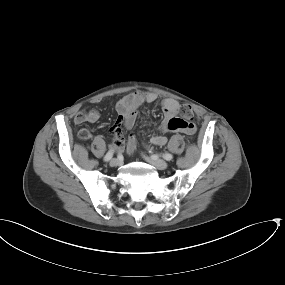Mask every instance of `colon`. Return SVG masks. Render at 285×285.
Segmentation results:
<instances>
[{"label": "colon", "mask_w": 285, "mask_h": 285, "mask_svg": "<svg viewBox=\"0 0 285 285\" xmlns=\"http://www.w3.org/2000/svg\"><path fill=\"white\" fill-rule=\"evenodd\" d=\"M180 113L182 117L184 118V121L188 122V120H190L193 117L194 110L191 105L184 104L180 108ZM185 130L187 133H190V134L193 133L194 131L193 124L189 122L188 126L185 127Z\"/></svg>", "instance_id": "5ec220e1"}]
</instances>
